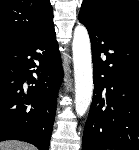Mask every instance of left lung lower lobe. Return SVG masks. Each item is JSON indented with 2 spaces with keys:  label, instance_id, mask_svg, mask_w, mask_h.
I'll use <instances>...</instances> for the list:
<instances>
[{
  "label": "left lung lower lobe",
  "instance_id": "left-lung-lower-lobe-1",
  "mask_svg": "<svg viewBox=\"0 0 139 150\" xmlns=\"http://www.w3.org/2000/svg\"><path fill=\"white\" fill-rule=\"evenodd\" d=\"M88 30L94 94L82 150H139V14L103 24L79 13Z\"/></svg>",
  "mask_w": 139,
  "mask_h": 150
}]
</instances>
